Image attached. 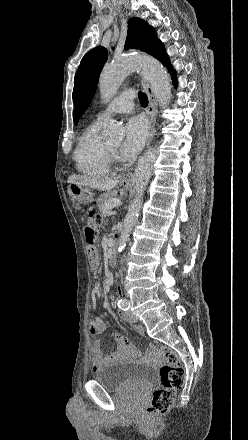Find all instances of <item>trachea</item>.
I'll use <instances>...</instances> for the list:
<instances>
[{
  "mask_svg": "<svg viewBox=\"0 0 248 440\" xmlns=\"http://www.w3.org/2000/svg\"><path fill=\"white\" fill-rule=\"evenodd\" d=\"M139 101L143 107L148 105V98L145 93L139 92Z\"/></svg>",
  "mask_w": 248,
  "mask_h": 440,
  "instance_id": "3493384b",
  "label": "trachea"
}]
</instances>
